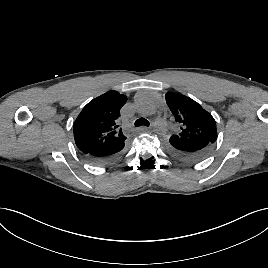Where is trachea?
<instances>
[{"mask_svg":"<svg viewBox=\"0 0 268 268\" xmlns=\"http://www.w3.org/2000/svg\"><path fill=\"white\" fill-rule=\"evenodd\" d=\"M136 127H139V126H149L150 123L147 119L145 118H139L135 121V124H134Z\"/></svg>","mask_w":268,"mask_h":268,"instance_id":"1","label":"trachea"}]
</instances>
